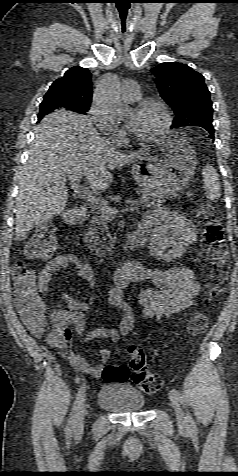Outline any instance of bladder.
Wrapping results in <instances>:
<instances>
[{
  "mask_svg": "<svg viewBox=\"0 0 238 476\" xmlns=\"http://www.w3.org/2000/svg\"><path fill=\"white\" fill-rule=\"evenodd\" d=\"M98 404L115 413H133L145 408V398L140 390L131 385L110 382L101 388Z\"/></svg>",
  "mask_w": 238,
  "mask_h": 476,
  "instance_id": "obj_1",
  "label": "bladder"
}]
</instances>
